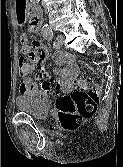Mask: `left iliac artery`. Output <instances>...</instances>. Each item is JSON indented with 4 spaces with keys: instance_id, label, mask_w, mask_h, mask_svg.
Returning a JSON list of instances; mask_svg holds the SVG:
<instances>
[{
    "instance_id": "1",
    "label": "left iliac artery",
    "mask_w": 123,
    "mask_h": 167,
    "mask_svg": "<svg viewBox=\"0 0 123 167\" xmlns=\"http://www.w3.org/2000/svg\"><path fill=\"white\" fill-rule=\"evenodd\" d=\"M43 37L45 39H47L48 41H52L53 40V32L51 29H49V31L45 34H43ZM53 47H56V42L53 43Z\"/></svg>"
}]
</instances>
